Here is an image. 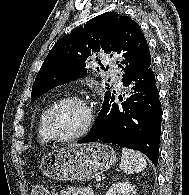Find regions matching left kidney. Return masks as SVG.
Instances as JSON below:
<instances>
[{
  "label": "left kidney",
  "mask_w": 189,
  "mask_h": 195,
  "mask_svg": "<svg viewBox=\"0 0 189 195\" xmlns=\"http://www.w3.org/2000/svg\"><path fill=\"white\" fill-rule=\"evenodd\" d=\"M106 195H136V189L129 182H119L114 184Z\"/></svg>",
  "instance_id": "left-kidney-1"
}]
</instances>
